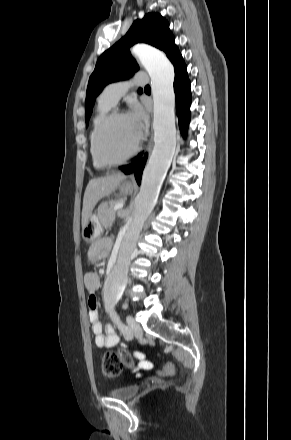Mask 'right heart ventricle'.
Here are the masks:
<instances>
[{
	"label": "right heart ventricle",
	"instance_id": "e07e8e85",
	"mask_svg": "<svg viewBox=\"0 0 291 440\" xmlns=\"http://www.w3.org/2000/svg\"><path fill=\"white\" fill-rule=\"evenodd\" d=\"M110 109H111L110 106L104 104L103 102H101L98 99V107H97L96 114H95V116L93 118V121H92V128H91L90 136H89L90 153H91V156H92L93 164L97 168H103V167L108 166V165L102 163L98 159V157L96 156V151H95V134H96V130H97V127H98L99 123L108 114Z\"/></svg>",
	"mask_w": 291,
	"mask_h": 440
}]
</instances>
